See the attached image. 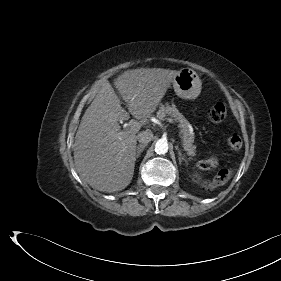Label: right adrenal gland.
Returning <instances> with one entry per match:
<instances>
[{
	"label": "right adrenal gland",
	"instance_id": "obj_1",
	"mask_svg": "<svg viewBox=\"0 0 281 281\" xmlns=\"http://www.w3.org/2000/svg\"><path fill=\"white\" fill-rule=\"evenodd\" d=\"M146 147V145H138L137 149H136V159H138L141 155V153L144 151V148Z\"/></svg>",
	"mask_w": 281,
	"mask_h": 281
}]
</instances>
